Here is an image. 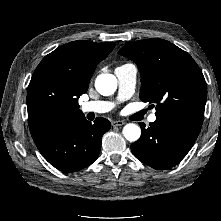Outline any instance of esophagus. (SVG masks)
<instances>
[{"label": "esophagus", "instance_id": "34e87169", "mask_svg": "<svg viewBox=\"0 0 221 221\" xmlns=\"http://www.w3.org/2000/svg\"><path fill=\"white\" fill-rule=\"evenodd\" d=\"M124 124H125V122H124V121H121V120L112 121V126H113V127L123 126Z\"/></svg>", "mask_w": 221, "mask_h": 221}]
</instances>
